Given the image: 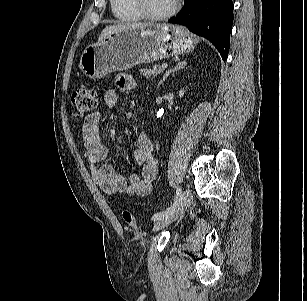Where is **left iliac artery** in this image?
<instances>
[{
    "label": "left iliac artery",
    "mask_w": 307,
    "mask_h": 301,
    "mask_svg": "<svg viewBox=\"0 0 307 301\" xmlns=\"http://www.w3.org/2000/svg\"><path fill=\"white\" fill-rule=\"evenodd\" d=\"M181 198H182V191H181V188L178 187L176 190V198H175L174 203L166 210L155 213L152 217V220L157 221L161 219L162 217H164L167 213H169L171 210H173L176 207V205L179 203Z\"/></svg>",
    "instance_id": "44dca946"
}]
</instances>
